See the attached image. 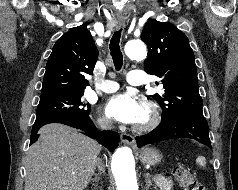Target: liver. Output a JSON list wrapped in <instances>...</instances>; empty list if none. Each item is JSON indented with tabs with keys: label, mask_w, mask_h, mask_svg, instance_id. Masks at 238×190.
<instances>
[{
	"label": "liver",
	"mask_w": 238,
	"mask_h": 190,
	"mask_svg": "<svg viewBox=\"0 0 238 190\" xmlns=\"http://www.w3.org/2000/svg\"><path fill=\"white\" fill-rule=\"evenodd\" d=\"M38 134L27 153L24 190H84L98 162L99 144L57 123Z\"/></svg>",
	"instance_id": "1"
}]
</instances>
